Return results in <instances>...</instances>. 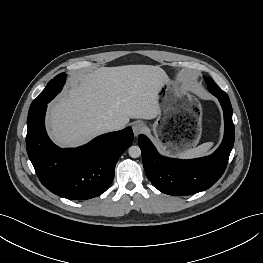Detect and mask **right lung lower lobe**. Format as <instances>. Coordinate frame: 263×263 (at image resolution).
I'll list each match as a JSON object with an SVG mask.
<instances>
[{"mask_svg":"<svg viewBox=\"0 0 263 263\" xmlns=\"http://www.w3.org/2000/svg\"><path fill=\"white\" fill-rule=\"evenodd\" d=\"M46 109L47 103L30 111L27 118L26 148L39 180L64 198L99 196L110 186L117 160L133 142L132 128L101 135L75 149H61L46 133Z\"/></svg>","mask_w":263,"mask_h":263,"instance_id":"obj_1","label":"right lung lower lobe"}]
</instances>
